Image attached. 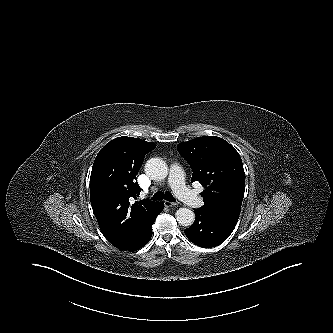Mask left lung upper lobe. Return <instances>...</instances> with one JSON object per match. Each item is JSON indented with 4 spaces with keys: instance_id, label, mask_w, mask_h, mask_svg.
Instances as JSON below:
<instances>
[{
    "instance_id": "obj_1",
    "label": "left lung upper lobe",
    "mask_w": 333,
    "mask_h": 333,
    "mask_svg": "<svg viewBox=\"0 0 333 333\" xmlns=\"http://www.w3.org/2000/svg\"><path fill=\"white\" fill-rule=\"evenodd\" d=\"M179 154L193 170L192 182L205 190L202 209L237 223L244 197V169L235 148L222 138L197 137L178 145Z\"/></svg>"
}]
</instances>
